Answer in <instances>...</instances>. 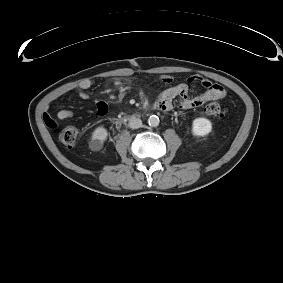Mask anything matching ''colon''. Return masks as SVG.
<instances>
[{
    "label": "colon",
    "mask_w": 283,
    "mask_h": 283,
    "mask_svg": "<svg viewBox=\"0 0 283 283\" xmlns=\"http://www.w3.org/2000/svg\"><path fill=\"white\" fill-rule=\"evenodd\" d=\"M204 112L212 118H224L228 110L221 104L213 102L206 105ZM77 130L73 127L62 129L58 135L59 141L66 147H73L77 141Z\"/></svg>",
    "instance_id": "5ec220e1"
}]
</instances>
